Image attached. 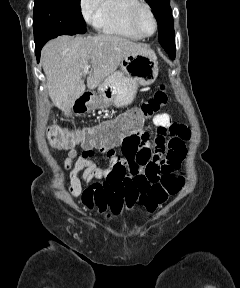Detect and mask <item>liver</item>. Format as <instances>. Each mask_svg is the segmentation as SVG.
<instances>
[{
    "label": "liver",
    "instance_id": "6515ba94",
    "mask_svg": "<svg viewBox=\"0 0 240 288\" xmlns=\"http://www.w3.org/2000/svg\"><path fill=\"white\" fill-rule=\"evenodd\" d=\"M130 53L156 56L143 44L116 35L72 38L64 35L46 43L41 62L47 78V89L53 104L69 113L77 98L85 91L82 71L90 64L87 77L89 90L95 89L114 73L122 59Z\"/></svg>",
    "mask_w": 240,
    "mask_h": 288
}]
</instances>
